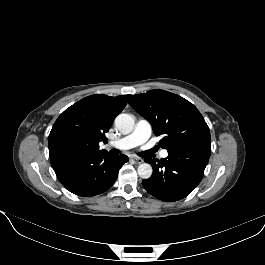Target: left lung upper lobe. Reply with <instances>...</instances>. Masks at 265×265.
<instances>
[{
  "instance_id": "1",
  "label": "left lung upper lobe",
  "mask_w": 265,
  "mask_h": 265,
  "mask_svg": "<svg viewBox=\"0 0 265 265\" xmlns=\"http://www.w3.org/2000/svg\"><path fill=\"white\" fill-rule=\"evenodd\" d=\"M129 104L147 119L160 146L168 152L200 143L211 142L209 127L198 109L179 95L151 90L131 96Z\"/></svg>"
}]
</instances>
